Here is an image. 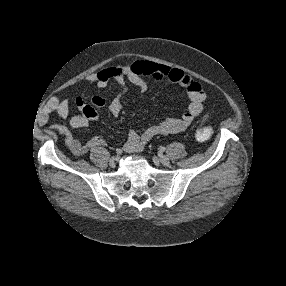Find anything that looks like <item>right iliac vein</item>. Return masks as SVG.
Listing matches in <instances>:
<instances>
[{
    "mask_svg": "<svg viewBox=\"0 0 286 286\" xmlns=\"http://www.w3.org/2000/svg\"><path fill=\"white\" fill-rule=\"evenodd\" d=\"M117 157H111L109 160L110 166L114 167L116 165Z\"/></svg>",
    "mask_w": 286,
    "mask_h": 286,
    "instance_id": "obj_1",
    "label": "right iliac vein"
}]
</instances>
